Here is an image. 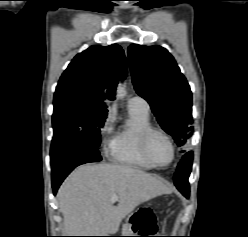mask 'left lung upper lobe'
Returning a JSON list of instances; mask_svg holds the SVG:
<instances>
[{"label": "left lung upper lobe", "instance_id": "obj_1", "mask_svg": "<svg viewBox=\"0 0 248 237\" xmlns=\"http://www.w3.org/2000/svg\"><path fill=\"white\" fill-rule=\"evenodd\" d=\"M136 92L150 104L161 127L178 146L192 135V95L173 56L160 46L132 44L128 48ZM189 173L175 175L187 180Z\"/></svg>", "mask_w": 248, "mask_h": 237}]
</instances>
